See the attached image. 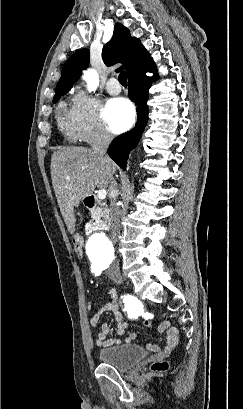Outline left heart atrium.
I'll list each match as a JSON object with an SVG mask.
<instances>
[{
  "mask_svg": "<svg viewBox=\"0 0 243 409\" xmlns=\"http://www.w3.org/2000/svg\"><path fill=\"white\" fill-rule=\"evenodd\" d=\"M103 118L109 130L115 134L129 129L135 119V110L125 98H114L107 102L103 109Z\"/></svg>",
  "mask_w": 243,
  "mask_h": 409,
  "instance_id": "1",
  "label": "left heart atrium"
}]
</instances>
